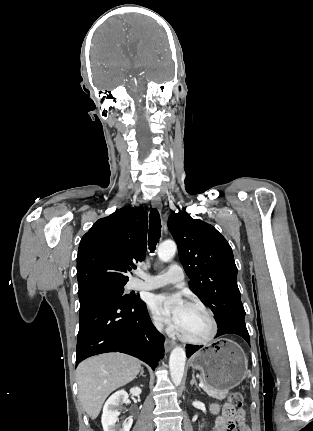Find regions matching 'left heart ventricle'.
<instances>
[{
  "mask_svg": "<svg viewBox=\"0 0 313 431\" xmlns=\"http://www.w3.org/2000/svg\"><path fill=\"white\" fill-rule=\"evenodd\" d=\"M212 326L207 314L197 308L188 306L183 317L180 332L192 339H204L209 336Z\"/></svg>",
  "mask_w": 313,
  "mask_h": 431,
  "instance_id": "b2bd125f",
  "label": "left heart ventricle"
}]
</instances>
